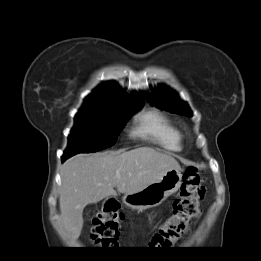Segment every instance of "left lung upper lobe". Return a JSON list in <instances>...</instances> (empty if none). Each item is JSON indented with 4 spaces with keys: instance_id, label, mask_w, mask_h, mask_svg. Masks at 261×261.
<instances>
[{
    "instance_id": "5c2ea615",
    "label": "left lung upper lobe",
    "mask_w": 261,
    "mask_h": 261,
    "mask_svg": "<svg viewBox=\"0 0 261 261\" xmlns=\"http://www.w3.org/2000/svg\"><path fill=\"white\" fill-rule=\"evenodd\" d=\"M152 105L156 104L158 107H164L172 112L192 116L191 110L188 105L179 99L176 93L169 89L160 87V94H142Z\"/></svg>"
}]
</instances>
